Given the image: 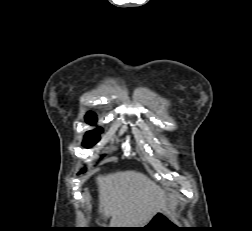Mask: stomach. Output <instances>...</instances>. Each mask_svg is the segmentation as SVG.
<instances>
[{
    "mask_svg": "<svg viewBox=\"0 0 252 231\" xmlns=\"http://www.w3.org/2000/svg\"><path fill=\"white\" fill-rule=\"evenodd\" d=\"M137 229L141 231H170L174 230V220L168 213L166 205L163 203L162 208L156 212L150 220Z\"/></svg>",
    "mask_w": 252,
    "mask_h": 231,
    "instance_id": "0dacf381",
    "label": "stomach"
}]
</instances>
